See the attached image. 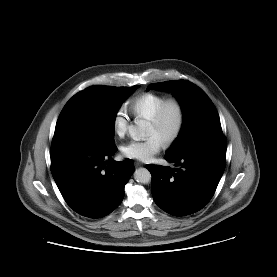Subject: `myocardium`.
Here are the masks:
<instances>
[{"label":"myocardium","mask_w":277,"mask_h":277,"mask_svg":"<svg viewBox=\"0 0 277 277\" xmlns=\"http://www.w3.org/2000/svg\"><path fill=\"white\" fill-rule=\"evenodd\" d=\"M170 107H175L177 111V123L172 133L163 141V145L165 147L172 146L179 139L184 130L186 122V111L183 103L175 97L167 98L158 108L154 116L149 119V122L152 125L155 127H160L165 119L167 110Z\"/></svg>","instance_id":"f54148a6"}]
</instances>
